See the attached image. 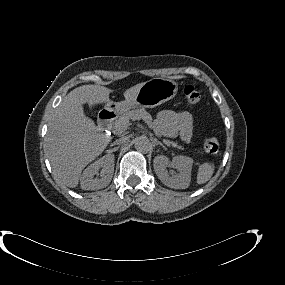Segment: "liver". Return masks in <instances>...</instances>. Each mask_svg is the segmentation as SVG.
I'll list each match as a JSON object with an SVG mask.
<instances>
[{"instance_id": "liver-1", "label": "liver", "mask_w": 285, "mask_h": 285, "mask_svg": "<svg viewBox=\"0 0 285 285\" xmlns=\"http://www.w3.org/2000/svg\"><path fill=\"white\" fill-rule=\"evenodd\" d=\"M143 83L127 89L125 100H133ZM110 92L99 85H82L73 89L56 108L49 123L45 152L54 174L70 188L78 185L82 170L104 151L111 140L85 116L83 104L112 102Z\"/></svg>"}]
</instances>
